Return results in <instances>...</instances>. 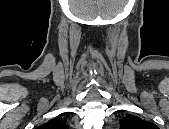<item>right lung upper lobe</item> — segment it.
Segmentation results:
<instances>
[{"mask_svg":"<svg viewBox=\"0 0 169 129\" xmlns=\"http://www.w3.org/2000/svg\"><path fill=\"white\" fill-rule=\"evenodd\" d=\"M42 129H65L66 125L62 124L61 122L52 119L41 126Z\"/></svg>","mask_w":169,"mask_h":129,"instance_id":"right-lung-upper-lobe-1","label":"right lung upper lobe"}]
</instances>
